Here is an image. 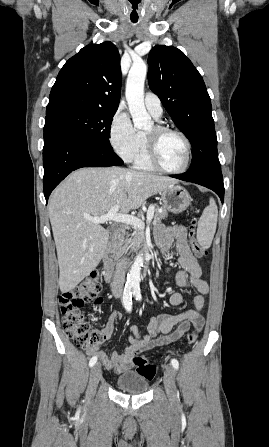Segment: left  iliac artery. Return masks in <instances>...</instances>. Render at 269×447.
<instances>
[{"label":"left iliac artery","instance_id":"obj_1","mask_svg":"<svg viewBox=\"0 0 269 447\" xmlns=\"http://www.w3.org/2000/svg\"><path fill=\"white\" fill-rule=\"evenodd\" d=\"M133 295H134V297L136 298V300H141V299H142V296H141V293H140V286H139L138 283H135V284L133 285ZM171 363H172V366H173L175 369H178V368H179V363H178V361H177L176 359H172V360H171Z\"/></svg>","mask_w":269,"mask_h":447}]
</instances>
